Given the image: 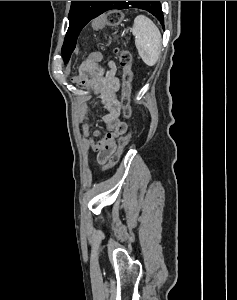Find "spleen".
Listing matches in <instances>:
<instances>
[{"label": "spleen", "instance_id": "spleen-1", "mask_svg": "<svg viewBox=\"0 0 237 300\" xmlns=\"http://www.w3.org/2000/svg\"><path fill=\"white\" fill-rule=\"evenodd\" d=\"M132 35L135 37V47L145 65H156L161 53V35L158 27L148 17L139 15L134 19Z\"/></svg>", "mask_w": 237, "mask_h": 300}]
</instances>
